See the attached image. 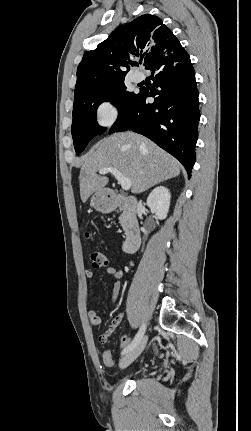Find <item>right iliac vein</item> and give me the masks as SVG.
<instances>
[{
	"label": "right iliac vein",
	"mask_w": 251,
	"mask_h": 431,
	"mask_svg": "<svg viewBox=\"0 0 251 431\" xmlns=\"http://www.w3.org/2000/svg\"><path fill=\"white\" fill-rule=\"evenodd\" d=\"M147 343V336H144L140 342L130 350L125 356H123L120 360V367L126 368L132 362L136 360V358L142 353Z\"/></svg>",
	"instance_id": "63e3f726"
}]
</instances>
